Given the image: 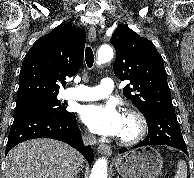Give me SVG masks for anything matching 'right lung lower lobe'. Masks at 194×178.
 <instances>
[{"mask_svg": "<svg viewBox=\"0 0 194 178\" xmlns=\"http://www.w3.org/2000/svg\"><path fill=\"white\" fill-rule=\"evenodd\" d=\"M52 138L63 141L92 163L94 155L90 146L82 144L80 129L74 113L55 114L41 109L14 112V122L8 137L6 154L17 144L34 138Z\"/></svg>", "mask_w": 194, "mask_h": 178, "instance_id": "obj_1", "label": "right lung lower lobe"}]
</instances>
